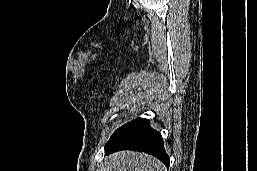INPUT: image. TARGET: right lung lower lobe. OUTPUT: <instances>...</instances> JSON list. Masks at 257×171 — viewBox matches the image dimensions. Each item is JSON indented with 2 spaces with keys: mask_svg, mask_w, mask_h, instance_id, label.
I'll use <instances>...</instances> for the list:
<instances>
[{
  "mask_svg": "<svg viewBox=\"0 0 257 171\" xmlns=\"http://www.w3.org/2000/svg\"><path fill=\"white\" fill-rule=\"evenodd\" d=\"M120 150H133L148 153L169 167L161 134L150 127L149 121L137 118L117 129L105 145L106 153Z\"/></svg>",
  "mask_w": 257,
  "mask_h": 171,
  "instance_id": "right-lung-lower-lobe-1",
  "label": "right lung lower lobe"
}]
</instances>
